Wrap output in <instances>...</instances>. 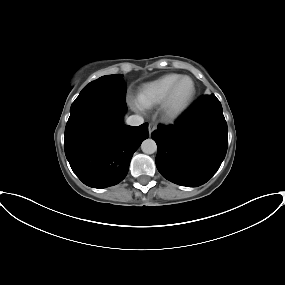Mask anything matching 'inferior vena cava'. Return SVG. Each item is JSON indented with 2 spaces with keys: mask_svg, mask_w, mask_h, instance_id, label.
I'll return each instance as SVG.
<instances>
[{
  "mask_svg": "<svg viewBox=\"0 0 285 285\" xmlns=\"http://www.w3.org/2000/svg\"><path fill=\"white\" fill-rule=\"evenodd\" d=\"M127 125L139 126L144 123V119L139 115H131L126 120Z\"/></svg>",
  "mask_w": 285,
  "mask_h": 285,
  "instance_id": "inferior-vena-cava-1",
  "label": "inferior vena cava"
}]
</instances>
